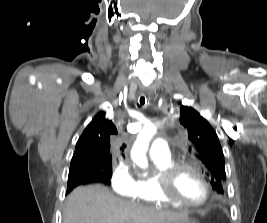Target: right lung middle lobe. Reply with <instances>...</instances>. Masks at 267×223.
Segmentation results:
<instances>
[{
    "instance_id": "right-lung-middle-lobe-1",
    "label": "right lung middle lobe",
    "mask_w": 267,
    "mask_h": 223,
    "mask_svg": "<svg viewBox=\"0 0 267 223\" xmlns=\"http://www.w3.org/2000/svg\"><path fill=\"white\" fill-rule=\"evenodd\" d=\"M84 166L85 165L79 164V165H76L74 167H70L69 175H73V174L79 173V172H84L85 171ZM111 176H112V170L106 174V177L110 178Z\"/></svg>"
}]
</instances>
